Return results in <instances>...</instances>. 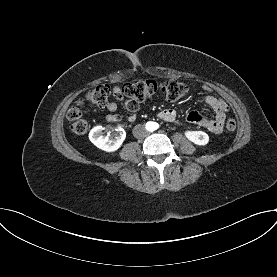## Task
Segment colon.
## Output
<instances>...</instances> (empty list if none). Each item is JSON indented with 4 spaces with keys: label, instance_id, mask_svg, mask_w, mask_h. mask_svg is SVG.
I'll return each instance as SVG.
<instances>
[{
    "label": "colon",
    "instance_id": "obj_1",
    "mask_svg": "<svg viewBox=\"0 0 277 277\" xmlns=\"http://www.w3.org/2000/svg\"><path fill=\"white\" fill-rule=\"evenodd\" d=\"M188 91V85L176 79L166 81L140 80L127 83L121 88L122 94L134 103L148 101L158 94L169 101H176L184 97ZM109 96L110 88L107 85H99L88 90L84 99L79 100L67 112V118L71 121V130L75 134H84L88 129L87 121L82 119L85 104L88 103L103 108L107 105ZM235 127V121L229 119L226 123V128L229 131H233Z\"/></svg>",
    "mask_w": 277,
    "mask_h": 277
}]
</instances>
